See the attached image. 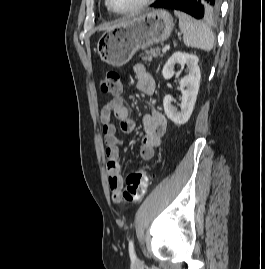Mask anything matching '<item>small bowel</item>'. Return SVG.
<instances>
[{"label": "small bowel", "mask_w": 265, "mask_h": 269, "mask_svg": "<svg viewBox=\"0 0 265 269\" xmlns=\"http://www.w3.org/2000/svg\"><path fill=\"white\" fill-rule=\"evenodd\" d=\"M137 89L150 98L151 110L143 117L144 136L141 140L139 153L142 159L149 161L154 158L156 149L161 145V138L167 127L165 116L156 107L155 80L142 64L134 66ZM120 122V130L124 134L133 132L134 120L129 116V109L122 97H114L106 101L100 111V122L107 156L108 186L113 199L120 202L122 189L121 168L118 162L121 141L117 136V128L112 117Z\"/></svg>", "instance_id": "obj_1"}]
</instances>
